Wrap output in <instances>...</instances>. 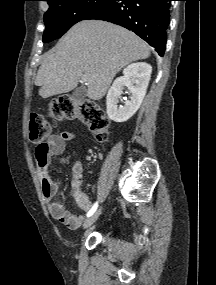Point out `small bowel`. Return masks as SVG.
<instances>
[{"label":"small bowel","instance_id":"small-bowel-1","mask_svg":"<svg viewBox=\"0 0 216 285\" xmlns=\"http://www.w3.org/2000/svg\"><path fill=\"white\" fill-rule=\"evenodd\" d=\"M75 139V134L69 131H63L59 134L50 136L45 149H36V160L40 169V181L42 193L45 200L48 202V210L52 218L65 224L70 229H77L82 221L83 215L73 214L66 210L64 206L53 200L58 192V184L54 182L47 173V167L52 156L59 155L65 152L66 142ZM82 171L81 164L76 163L72 169V189L74 199L80 210L86 212L91 208L89 197L82 191Z\"/></svg>","mask_w":216,"mask_h":285}]
</instances>
